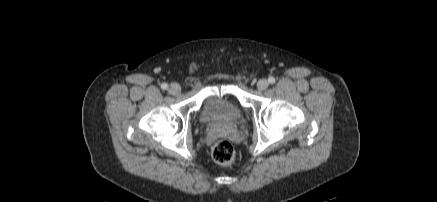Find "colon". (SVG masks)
Masks as SVG:
<instances>
[{
    "instance_id": "5ec220e1",
    "label": "colon",
    "mask_w": 437,
    "mask_h": 202,
    "mask_svg": "<svg viewBox=\"0 0 437 202\" xmlns=\"http://www.w3.org/2000/svg\"><path fill=\"white\" fill-rule=\"evenodd\" d=\"M212 158L221 165H232L235 160V150L227 140H217L212 147Z\"/></svg>"
}]
</instances>
